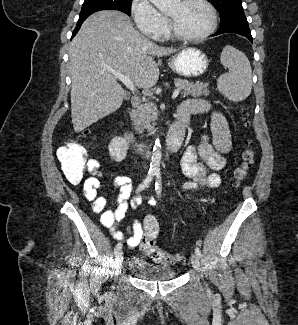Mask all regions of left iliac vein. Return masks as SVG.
I'll list each match as a JSON object with an SVG mask.
<instances>
[{
    "label": "left iliac vein",
    "instance_id": "4c4485c4",
    "mask_svg": "<svg viewBox=\"0 0 298 325\" xmlns=\"http://www.w3.org/2000/svg\"><path fill=\"white\" fill-rule=\"evenodd\" d=\"M191 262H192V266L193 268L198 271L199 273H201V266H200V260L199 257L196 254H192L191 255ZM202 276V275H201Z\"/></svg>",
    "mask_w": 298,
    "mask_h": 325
}]
</instances>
